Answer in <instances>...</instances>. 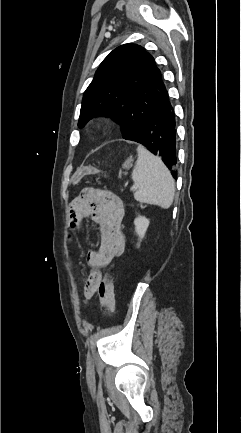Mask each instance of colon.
I'll list each match as a JSON object with an SVG mask.
<instances>
[{
	"label": "colon",
	"mask_w": 241,
	"mask_h": 433,
	"mask_svg": "<svg viewBox=\"0 0 241 433\" xmlns=\"http://www.w3.org/2000/svg\"><path fill=\"white\" fill-rule=\"evenodd\" d=\"M94 170L93 168H76L72 178L75 181L81 180L82 177H93ZM68 235L71 238H74L77 235V232L74 229H71L68 232ZM88 286L99 292L101 300L103 312L106 318L112 317L114 313V280L111 275H107L105 277L100 276L99 274H93L89 281Z\"/></svg>",
	"instance_id": "obj_1"
}]
</instances>
